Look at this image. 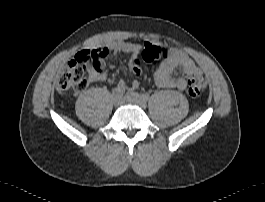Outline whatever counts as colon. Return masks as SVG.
<instances>
[{
    "mask_svg": "<svg viewBox=\"0 0 265 202\" xmlns=\"http://www.w3.org/2000/svg\"><path fill=\"white\" fill-rule=\"evenodd\" d=\"M108 55L102 48H89L78 52L74 59L67 63L58 78V87L64 91H83L87 88L88 65L99 67V58ZM169 56L168 50L147 45L132 61V73L138 77L149 64H155ZM206 87V80L201 75H192L188 79V94L192 98H199Z\"/></svg>",
    "mask_w": 265,
    "mask_h": 202,
    "instance_id": "1",
    "label": "colon"
}]
</instances>
